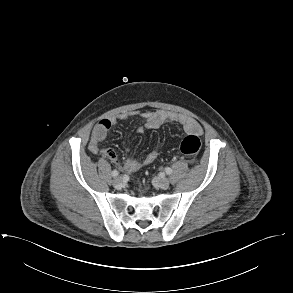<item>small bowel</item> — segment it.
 I'll return each mask as SVG.
<instances>
[{
  "label": "small bowel",
  "instance_id": "obj_1",
  "mask_svg": "<svg viewBox=\"0 0 293 293\" xmlns=\"http://www.w3.org/2000/svg\"><path fill=\"white\" fill-rule=\"evenodd\" d=\"M138 116L143 118L145 122L144 127H140L138 129L139 133H142L144 129H157L165 123L179 124L188 134L201 135L203 133L201 125L195 119L183 114L164 110L122 112L118 115L107 116L100 121L98 129L103 131L102 136L99 138L96 136L93 137L90 143V150L95 153L99 151V140H101L104 134L108 132L118 121H124L130 117ZM103 156L127 172H135L142 166L149 165L154 162L158 156V151L156 149L151 150L142 161L134 158H128L123 163L119 161L116 153L112 149L104 150Z\"/></svg>",
  "mask_w": 293,
  "mask_h": 293
}]
</instances>
